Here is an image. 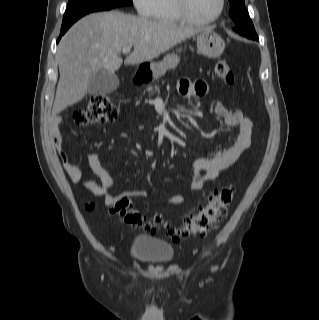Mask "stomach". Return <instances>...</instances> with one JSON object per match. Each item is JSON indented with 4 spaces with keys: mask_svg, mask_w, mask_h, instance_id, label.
Here are the masks:
<instances>
[{
    "mask_svg": "<svg viewBox=\"0 0 319 320\" xmlns=\"http://www.w3.org/2000/svg\"><path fill=\"white\" fill-rule=\"evenodd\" d=\"M225 49L222 37L212 29H205L197 35L198 53L208 58H218ZM180 62V57L175 53L167 54L160 62H150L149 70L153 79L162 77L167 70L175 69Z\"/></svg>",
    "mask_w": 319,
    "mask_h": 320,
    "instance_id": "obj_1",
    "label": "stomach"
}]
</instances>
